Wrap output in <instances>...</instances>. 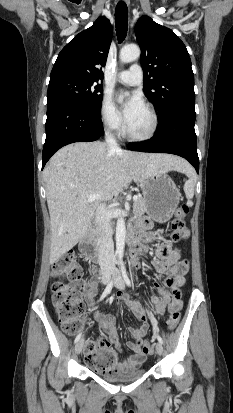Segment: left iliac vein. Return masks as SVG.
<instances>
[{"mask_svg": "<svg viewBox=\"0 0 233 413\" xmlns=\"http://www.w3.org/2000/svg\"><path fill=\"white\" fill-rule=\"evenodd\" d=\"M114 276H115V287L120 289V290H124L125 289V283L124 280L120 274V272L118 270L114 271ZM156 352L158 355H162L163 354V346L160 342H158L156 344Z\"/></svg>", "mask_w": 233, "mask_h": 413, "instance_id": "4c4485c4", "label": "left iliac vein"}]
</instances>
